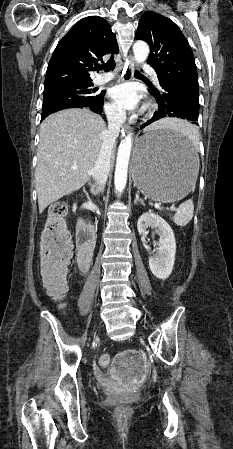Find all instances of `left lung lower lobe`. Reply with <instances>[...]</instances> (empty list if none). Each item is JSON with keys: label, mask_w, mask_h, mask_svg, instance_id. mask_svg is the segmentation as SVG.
I'll list each match as a JSON object with an SVG mask.
<instances>
[{"label": "left lung lower lobe", "mask_w": 233, "mask_h": 449, "mask_svg": "<svg viewBox=\"0 0 233 449\" xmlns=\"http://www.w3.org/2000/svg\"><path fill=\"white\" fill-rule=\"evenodd\" d=\"M158 80L161 89H153L151 93L156 97L159 110L154 113L152 119L146 122L141 129L160 118L168 116L187 119L198 125L199 97L182 91L160 79ZM165 138L176 141L179 140V137L177 136H165Z\"/></svg>", "instance_id": "left-lung-lower-lobe-1"}]
</instances>
